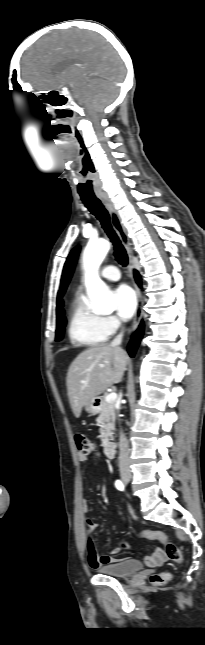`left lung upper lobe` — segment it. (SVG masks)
<instances>
[{"label":"left lung upper lobe","instance_id":"left-lung-upper-lobe-1","mask_svg":"<svg viewBox=\"0 0 205 645\" xmlns=\"http://www.w3.org/2000/svg\"><path fill=\"white\" fill-rule=\"evenodd\" d=\"M78 253H79V247L74 248L71 251V253H70V255H69V257H68V259H67V261L65 263L63 276H62V289H63V292L65 291V289H66V287H67V285L69 283V280L71 278V275H72V272H73V269H74V265H75L76 260H77Z\"/></svg>","mask_w":205,"mask_h":645}]
</instances>
